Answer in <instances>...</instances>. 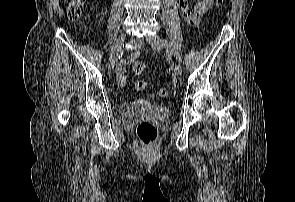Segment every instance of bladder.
I'll return each instance as SVG.
<instances>
[{"mask_svg": "<svg viewBox=\"0 0 295 202\" xmlns=\"http://www.w3.org/2000/svg\"><path fill=\"white\" fill-rule=\"evenodd\" d=\"M121 114L124 116H135L138 114L152 115L165 119L171 115L168 107L148 100H137L126 102L121 106Z\"/></svg>", "mask_w": 295, "mask_h": 202, "instance_id": "1", "label": "bladder"}]
</instances>
